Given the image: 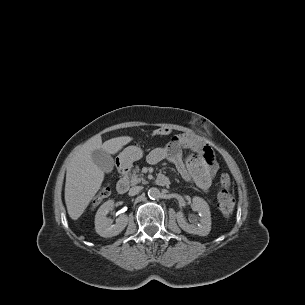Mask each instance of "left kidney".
I'll use <instances>...</instances> for the list:
<instances>
[{"label":"left kidney","mask_w":305,"mask_h":305,"mask_svg":"<svg viewBox=\"0 0 305 305\" xmlns=\"http://www.w3.org/2000/svg\"><path fill=\"white\" fill-rule=\"evenodd\" d=\"M191 207L193 211H197L199 213V222L195 221L192 224H189L185 220L184 214L179 211L176 213L178 225L187 233L199 236H207L211 230V213L209 205L204 199L200 197H194L192 199Z\"/></svg>","instance_id":"5707ae66"}]
</instances>
